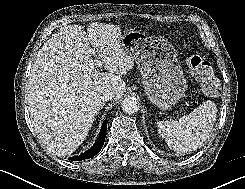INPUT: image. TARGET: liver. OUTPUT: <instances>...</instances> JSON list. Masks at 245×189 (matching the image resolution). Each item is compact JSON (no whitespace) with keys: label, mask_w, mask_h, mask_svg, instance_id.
I'll return each instance as SVG.
<instances>
[{"label":"liver","mask_w":245,"mask_h":189,"mask_svg":"<svg viewBox=\"0 0 245 189\" xmlns=\"http://www.w3.org/2000/svg\"><path fill=\"white\" fill-rule=\"evenodd\" d=\"M118 25L92 23L62 27L39 50L28 80V101L33 127L57 156L71 155L84 141L95 116L103 108V91L123 96L122 75L133 59L121 48ZM89 45L95 47L106 72L94 66Z\"/></svg>","instance_id":"liver-1"}]
</instances>
